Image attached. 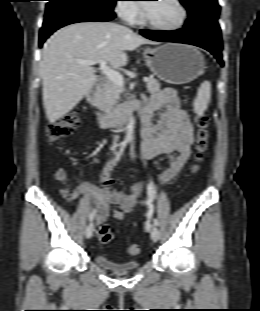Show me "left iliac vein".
Segmentation results:
<instances>
[{"label": "left iliac vein", "instance_id": "left-iliac-vein-1", "mask_svg": "<svg viewBox=\"0 0 260 311\" xmlns=\"http://www.w3.org/2000/svg\"><path fill=\"white\" fill-rule=\"evenodd\" d=\"M150 234H151V239L154 242L158 241V239L160 237V232H159V229L156 226H153L151 228Z\"/></svg>", "mask_w": 260, "mask_h": 311}]
</instances>
